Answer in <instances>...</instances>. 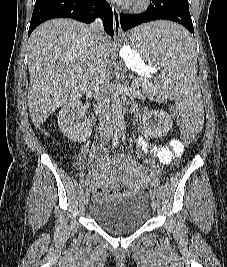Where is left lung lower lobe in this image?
<instances>
[{
	"label": "left lung lower lobe",
	"mask_w": 227,
	"mask_h": 267,
	"mask_svg": "<svg viewBox=\"0 0 227 267\" xmlns=\"http://www.w3.org/2000/svg\"><path fill=\"white\" fill-rule=\"evenodd\" d=\"M155 20H170L183 25L191 34L194 28L189 12L188 0H152L146 12L136 15L120 14L121 28L127 31L142 23ZM164 45L171 49L183 48L187 42L181 38L167 35Z\"/></svg>",
	"instance_id": "left-lung-lower-lobe-1"
}]
</instances>
